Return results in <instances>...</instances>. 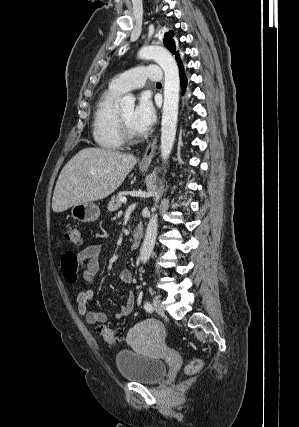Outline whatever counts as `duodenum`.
<instances>
[{
	"label": "duodenum",
	"mask_w": 299,
	"mask_h": 427,
	"mask_svg": "<svg viewBox=\"0 0 299 427\" xmlns=\"http://www.w3.org/2000/svg\"><path fill=\"white\" fill-rule=\"evenodd\" d=\"M142 234H143L142 226L140 224H137L133 230V243L131 247L132 250H136L139 247L142 239Z\"/></svg>",
	"instance_id": "410a0bca"
}]
</instances>
